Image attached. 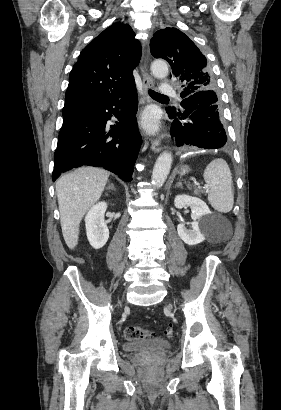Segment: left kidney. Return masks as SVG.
Returning <instances> with one entry per match:
<instances>
[{
  "instance_id": "left-kidney-1",
  "label": "left kidney",
  "mask_w": 281,
  "mask_h": 410,
  "mask_svg": "<svg viewBox=\"0 0 281 410\" xmlns=\"http://www.w3.org/2000/svg\"><path fill=\"white\" fill-rule=\"evenodd\" d=\"M176 208L181 209L189 206L191 209V229L185 227V223L177 226L179 237L188 245H197L205 240L204 231L211 222V211L207 204L197 197L189 195H177L174 200Z\"/></svg>"
}]
</instances>
